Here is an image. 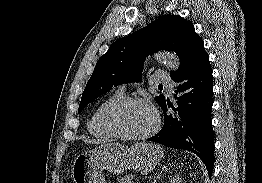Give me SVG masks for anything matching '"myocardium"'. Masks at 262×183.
I'll return each mask as SVG.
<instances>
[{"instance_id":"1","label":"myocardium","mask_w":262,"mask_h":183,"mask_svg":"<svg viewBox=\"0 0 262 183\" xmlns=\"http://www.w3.org/2000/svg\"><path fill=\"white\" fill-rule=\"evenodd\" d=\"M142 104L150 107L155 115L154 126L146 133L141 135H131L123 132L117 125L118 115L131 105ZM105 124L108 130L115 136L124 140L141 141L152 137L160 128L161 117L156 107L148 100L138 97H125L111 106L105 114Z\"/></svg>"}]
</instances>
